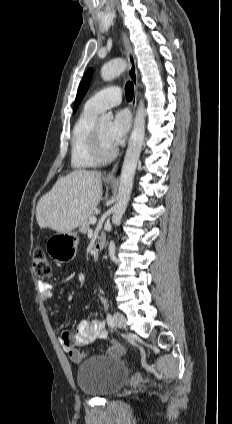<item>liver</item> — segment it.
Instances as JSON below:
<instances>
[{"mask_svg":"<svg viewBox=\"0 0 232 424\" xmlns=\"http://www.w3.org/2000/svg\"><path fill=\"white\" fill-rule=\"evenodd\" d=\"M101 197V172L74 170L59 178L40 198L36 208L37 223L40 228L69 233L93 213Z\"/></svg>","mask_w":232,"mask_h":424,"instance_id":"1","label":"liver"}]
</instances>
